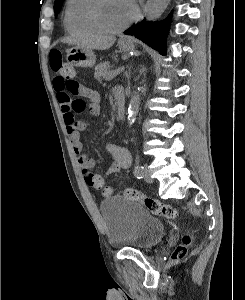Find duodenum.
<instances>
[{
  "label": "duodenum",
  "mask_w": 245,
  "mask_h": 300,
  "mask_svg": "<svg viewBox=\"0 0 245 300\" xmlns=\"http://www.w3.org/2000/svg\"><path fill=\"white\" fill-rule=\"evenodd\" d=\"M115 99H116V111H117V116L120 120L124 118L125 115V99L124 95L120 92L117 91L115 93Z\"/></svg>",
  "instance_id": "obj_1"
}]
</instances>
